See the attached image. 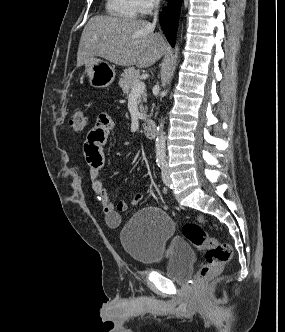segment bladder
<instances>
[{"label":"bladder","instance_id":"31cf9c89","mask_svg":"<svg viewBox=\"0 0 285 332\" xmlns=\"http://www.w3.org/2000/svg\"><path fill=\"white\" fill-rule=\"evenodd\" d=\"M120 240L128 255L137 262L165 261V272L173 279H185L195 261L194 250L174 235L170 216L155 206L138 210L123 227Z\"/></svg>","mask_w":285,"mask_h":332}]
</instances>
